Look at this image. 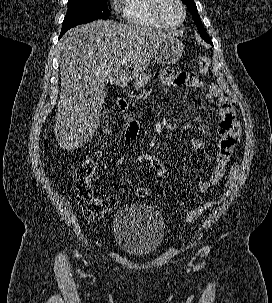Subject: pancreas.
<instances>
[{
  "instance_id": "obj_1",
  "label": "pancreas",
  "mask_w": 272,
  "mask_h": 303,
  "mask_svg": "<svg viewBox=\"0 0 272 303\" xmlns=\"http://www.w3.org/2000/svg\"><path fill=\"white\" fill-rule=\"evenodd\" d=\"M150 74H140L139 76L136 77L135 83H134V88L136 90H140L142 87H144L148 81L151 79Z\"/></svg>"
}]
</instances>
